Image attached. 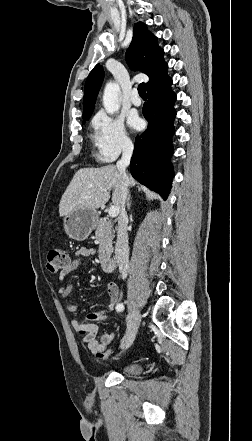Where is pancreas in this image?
I'll return each mask as SVG.
<instances>
[{
  "label": "pancreas",
  "mask_w": 252,
  "mask_h": 441,
  "mask_svg": "<svg viewBox=\"0 0 252 441\" xmlns=\"http://www.w3.org/2000/svg\"><path fill=\"white\" fill-rule=\"evenodd\" d=\"M95 237L98 241V257L101 262L110 258L112 253V244L114 238V229L111 221L101 218L97 222Z\"/></svg>",
  "instance_id": "1"
}]
</instances>
